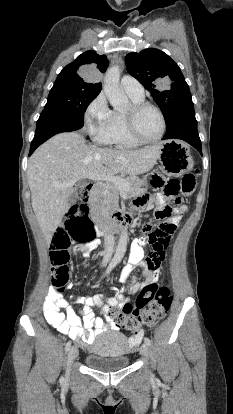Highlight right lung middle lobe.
Listing matches in <instances>:
<instances>
[{
    "label": "right lung middle lobe",
    "mask_w": 233,
    "mask_h": 414,
    "mask_svg": "<svg viewBox=\"0 0 233 414\" xmlns=\"http://www.w3.org/2000/svg\"><path fill=\"white\" fill-rule=\"evenodd\" d=\"M99 90L87 89L62 81H55L44 109L84 121L88 105L98 96Z\"/></svg>",
    "instance_id": "dd1d6c3e"
}]
</instances>
